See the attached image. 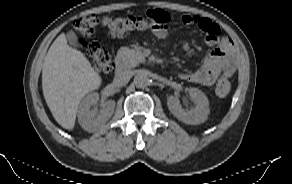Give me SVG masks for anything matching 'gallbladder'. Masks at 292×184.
Wrapping results in <instances>:
<instances>
[{
  "label": "gallbladder",
  "mask_w": 292,
  "mask_h": 184,
  "mask_svg": "<svg viewBox=\"0 0 292 184\" xmlns=\"http://www.w3.org/2000/svg\"><path fill=\"white\" fill-rule=\"evenodd\" d=\"M66 38L69 42V44L73 47H79V43H78V38L76 36V34L73 31H69L66 34Z\"/></svg>",
  "instance_id": "bac80fb5"
}]
</instances>
